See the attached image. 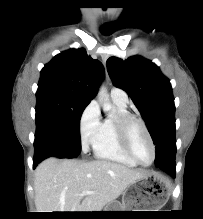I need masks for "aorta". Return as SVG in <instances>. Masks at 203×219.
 <instances>
[{"mask_svg":"<svg viewBox=\"0 0 203 219\" xmlns=\"http://www.w3.org/2000/svg\"><path fill=\"white\" fill-rule=\"evenodd\" d=\"M98 96H99L101 99L104 100V102H103V110H104V111H111V110H112V105H111V103L109 102L107 90H106V87H105L104 85H102V86L99 88Z\"/></svg>","mask_w":203,"mask_h":219,"instance_id":"1","label":"aorta"}]
</instances>
